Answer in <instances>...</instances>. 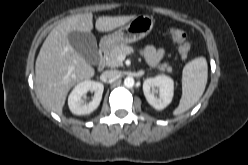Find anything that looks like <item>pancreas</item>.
<instances>
[{"instance_id":"1","label":"pancreas","mask_w":248,"mask_h":165,"mask_svg":"<svg viewBox=\"0 0 248 165\" xmlns=\"http://www.w3.org/2000/svg\"><path fill=\"white\" fill-rule=\"evenodd\" d=\"M131 52H133V48L126 44L115 46L106 56V65L112 68L123 66V60L119 59V57L126 56ZM159 70L171 73L172 67L167 63H163L159 66Z\"/></svg>"}]
</instances>
